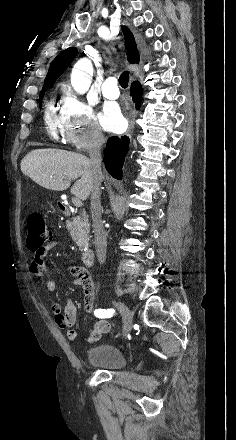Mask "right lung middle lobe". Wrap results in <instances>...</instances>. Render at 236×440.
<instances>
[{"mask_svg":"<svg viewBox=\"0 0 236 440\" xmlns=\"http://www.w3.org/2000/svg\"><path fill=\"white\" fill-rule=\"evenodd\" d=\"M43 95H44V94H43ZM43 95L40 96L39 106H41V104H42V98H43Z\"/></svg>","mask_w":236,"mask_h":440,"instance_id":"1","label":"right lung middle lobe"}]
</instances>
